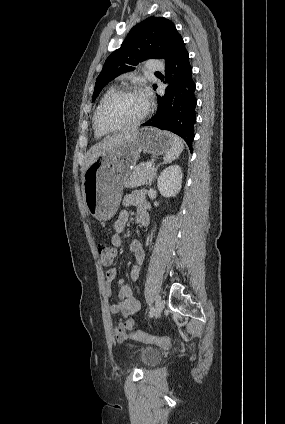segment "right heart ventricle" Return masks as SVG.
<instances>
[{
	"label": "right heart ventricle",
	"instance_id": "obj_1",
	"mask_svg": "<svg viewBox=\"0 0 285 424\" xmlns=\"http://www.w3.org/2000/svg\"><path fill=\"white\" fill-rule=\"evenodd\" d=\"M116 91V86H112V87H110L109 89H107V91L103 94V96L101 97V99H100V101H99V103H98V105H97V107H96V109H95V112H96V110H97V108L100 106V104L109 96V95H111L113 92H115ZM95 112H94V114H93V120H94V115H95ZM93 122V131H94V134H95V136L97 137V138H102V137H104L107 133H101V132H99L97 129H96V127H95V125H94V121H92Z\"/></svg>",
	"mask_w": 285,
	"mask_h": 424
}]
</instances>
